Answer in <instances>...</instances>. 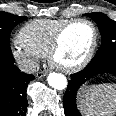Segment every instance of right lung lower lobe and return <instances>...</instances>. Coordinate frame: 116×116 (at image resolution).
I'll return each instance as SVG.
<instances>
[{
  "label": "right lung lower lobe",
  "instance_id": "98d812e1",
  "mask_svg": "<svg viewBox=\"0 0 116 116\" xmlns=\"http://www.w3.org/2000/svg\"><path fill=\"white\" fill-rule=\"evenodd\" d=\"M11 62L0 66V116H25L28 101L26 89L34 76L25 74Z\"/></svg>",
  "mask_w": 116,
  "mask_h": 116
}]
</instances>
